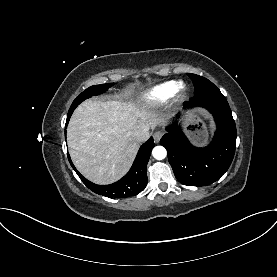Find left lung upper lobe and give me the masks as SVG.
I'll list each match as a JSON object with an SVG mask.
<instances>
[{
    "instance_id": "obj_1",
    "label": "left lung upper lobe",
    "mask_w": 277,
    "mask_h": 277,
    "mask_svg": "<svg viewBox=\"0 0 277 277\" xmlns=\"http://www.w3.org/2000/svg\"><path fill=\"white\" fill-rule=\"evenodd\" d=\"M187 75L190 77L195 87L194 95H199L211 91H220L211 81L202 76L191 73H188Z\"/></svg>"
}]
</instances>
